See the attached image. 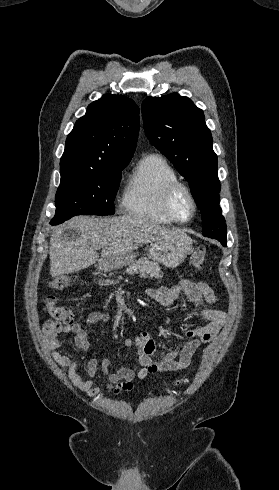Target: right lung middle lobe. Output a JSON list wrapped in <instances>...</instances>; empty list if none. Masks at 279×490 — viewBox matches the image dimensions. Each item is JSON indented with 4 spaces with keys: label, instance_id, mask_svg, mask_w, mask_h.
<instances>
[{
    "label": "right lung middle lobe",
    "instance_id": "obj_1",
    "mask_svg": "<svg viewBox=\"0 0 279 490\" xmlns=\"http://www.w3.org/2000/svg\"><path fill=\"white\" fill-rule=\"evenodd\" d=\"M60 169L61 183L55 197L56 213L51 220L57 225L75 215H112L114 199L127 166Z\"/></svg>",
    "mask_w": 279,
    "mask_h": 490
}]
</instances>
